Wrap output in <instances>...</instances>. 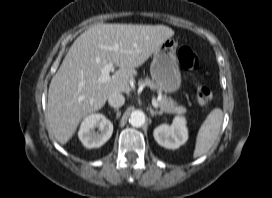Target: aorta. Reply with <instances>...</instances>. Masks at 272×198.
<instances>
[{
    "instance_id": "obj_1",
    "label": "aorta",
    "mask_w": 272,
    "mask_h": 198,
    "mask_svg": "<svg viewBox=\"0 0 272 198\" xmlns=\"http://www.w3.org/2000/svg\"><path fill=\"white\" fill-rule=\"evenodd\" d=\"M129 122L133 127H141L145 123V114L140 110H135L131 113Z\"/></svg>"
}]
</instances>
